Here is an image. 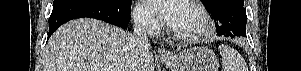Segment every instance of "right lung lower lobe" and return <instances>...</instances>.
I'll return each mask as SVG.
<instances>
[{"mask_svg":"<svg viewBox=\"0 0 301 71\" xmlns=\"http://www.w3.org/2000/svg\"><path fill=\"white\" fill-rule=\"evenodd\" d=\"M131 1L126 4L101 3L91 0H74L53 6L48 38L62 24L76 18H94L127 28L130 21Z\"/></svg>","mask_w":301,"mask_h":71,"instance_id":"obj_1","label":"right lung lower lobe"}]
</instances>
